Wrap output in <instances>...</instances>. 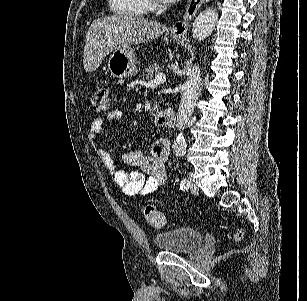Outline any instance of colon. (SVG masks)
Returning <instances> with one entry per match:
<instances>
[{
	"mask_svg": "<svg viewBox=\"0 0 307 301\" xmlns=\"http://www.w3.org/2000/svg\"><path fill=\"white\" fill-rule=\"evenodd\" d=\"M91 107L95 112H106L110 108L109 93L106 88H98L91 96ZM142 213L147 223L157 229L165 228L168 225V221L164 214L158 210L154 205H145L142 208ZM243 236L242 230H237L234 234V238L239 240Z\"/></svg>",
	"mask_w": 307,
	"mask_h": 301,
	"instance_id": "colon-1",
	"label": "colon"
}]
</instances>
